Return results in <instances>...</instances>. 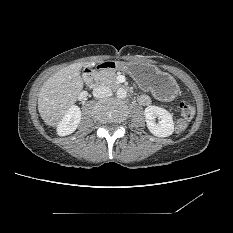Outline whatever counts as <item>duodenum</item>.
Returning <instances> with one entry per match:
<instances>
[{
    "label": "duodenum",
    "mask_w": 233,
    "mask_h": 233,
    "mask_svg": "<svg viewBox=\"0 0 233 233\" xmlns=\"http://www.w3.org/2000/svg\"><path fill=\"white\" fill-rule=\"evenodd\" d=\"M119 67L118 62L116 61H106L96 64L92 68H87L83 73V80L86 84L91 85L93 83V76L96 72L103 69L115 70Z\"/></svg>",
    "instance_id": "1"
}]
</instances>
